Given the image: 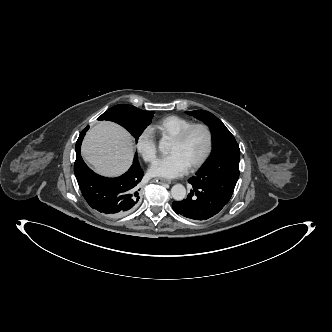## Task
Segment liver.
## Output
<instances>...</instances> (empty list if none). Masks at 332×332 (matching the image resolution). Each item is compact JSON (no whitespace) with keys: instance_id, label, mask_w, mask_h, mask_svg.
<instances>
[{"instance_id":"liver-1","label":"liver","mask_w":332,"mask_h":332,"mask_svg":"<svg viewBox=\"0 0 332 332\" xmlns=\"http://www.w3.org/2000/svg\"><path fill=\"white\" fill-rule=\"evenodd\" d=\"M81 152L96 173L116 177L132 164L134 146L125 129L116 123L101 121L87 132Z\"/></svg>"}]
</instances>
